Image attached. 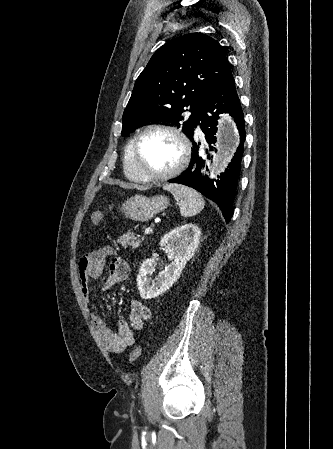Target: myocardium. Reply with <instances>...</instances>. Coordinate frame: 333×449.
Segmentation results:
<instances>
[{
    "label": "myocardium",
    "mask_w": 333,
    "mask_h": 449,
    "mask_svg": "<svg viewBox=\"0 0 333 449\" xmlns=\"http://www.w3.org/2000/svg\"><path fill=\"white\" fill-rule=\"evenodd\" d=\"M162 131L174 137L180 145L181 156L178 163L169 171L161 174H148L140 165V146L143 138L150 132ZM191 157V145L187 137L177 128L166 124H150L146 126L135 138L133 144V164L136 172L144 182H158L169 180L180 174L188 165Z\"/></svg>",
    "instance_id": "myocardium-1"
}]
</instances>
